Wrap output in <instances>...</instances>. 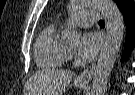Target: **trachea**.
Listing matches in <instances>:
<instances>
[{
  "label": "trachea",
  "instance_id": "trachea-1",
  "mask_svg": "<svg viewBox=\"0 0 135 95\" xmlns=\"http://www.w3.org/2000/svg\"><path fill=\"white\" fill-rule=\"evenodd\" d=\"M99 25H105L104 21L103 20H100L99 21Z\"/></svg>",
  "mask_w": 135,
  "mask_h": 95
}]
</instances>
